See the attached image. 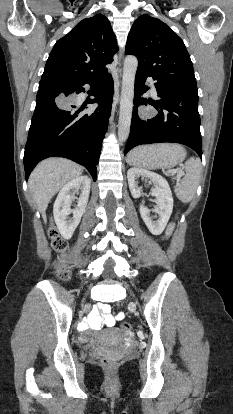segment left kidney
Segmentation results:
<instances>
[{
  "instance_id": "1",
  "label": "left kidney",
  "mask_w": 233,
  "mask_h": 414,
  "mask_svg": "<svg viewBox=\"0 0 233 414\" xmlns=\"http://www.w3.org/2000/svg\"><path fill=\"white\" fill-rule=\"evenodd\" d=\"M140 176L148 178L154 185L152 195L156 197L157 207L154 212L158 215V219L157 221L152 220L150 210L143 203L140 205L141 217L153 235H160L164 231L173 210V197L169 184L162 176L154 172L140 168H130L127 171V178L131 195L134 198L141 196V189L136 182Z\"/></svg>"
}]
</instances>
